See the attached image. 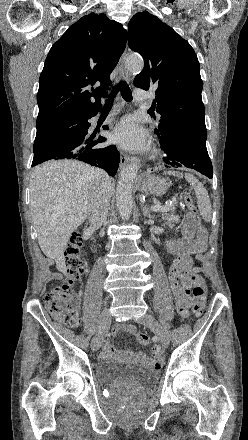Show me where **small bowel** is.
I'll use <instances>...</instances> for the list:
<instances>
[{"mask_svg": "<svg viewBox=\"0 0 248 440\" xmlns=\"http://www.w3.org/2000/svg\"><path fill=\"white\" fill-rule=\"evenodd\" d=\"M182 237L177 240L170 241L166 244L167 249L176 255L169 269V282L176 301L177 312L182 318H187L189 313L190 287L192 284V276L200 272L199 267H192L191 254L195 252L192 249L191 241L196 236H202L204 243L206 241V232L203 228H198L191 221L187 220L181 228ZM198 260H202V255H197ZM120 332L136 333V328L131 325L118 324L114 328V335ZM155 356L148 358L143 353H138L135 358L141 362L148 363L158 368L160 365V357L157 350L154 349ZM102 355L106 359H116L123 356L117 352L112 343L108 341L103 349Z\"/></svg>", "mask_w": 248, "mask_h": 440, "instance_id": "obj_1", "label": "small bowel"}]
</instances>
